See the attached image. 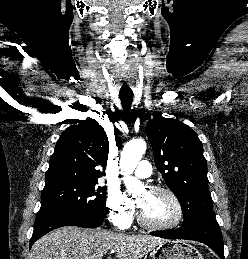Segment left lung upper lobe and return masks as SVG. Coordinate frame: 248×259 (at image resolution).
Masks as SVG:
<instances>
[{"label": "left lung upper lobe", "mask_w": 248, "mask_h": 259, "mask_svg": "<svg viewBox=\"0 0 248 259\" xmlns=\"http://www.w3.org/2000/svg\"><path fill=\"white\" fill-rule=\"evenodd\" d=\"M146 133L156 167L181 203L182 226L215 219L207 163L197 134L184 123L161 114L147 123Z\"/></svg>", "instance_id": "obj_1"}]
</instances>
